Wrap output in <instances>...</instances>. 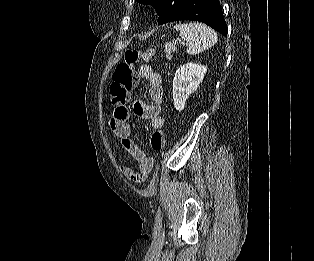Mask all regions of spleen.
Returning <instances> with one entry per match:
<instances>
[{"mask_svg": "<svg viewBox=\"0 0 314 261\" xmlns=\"http://www.w3.org/2000/svg\"><path fill=\"white\" fill-rule=\"evenodd\" d=\"M174 29L180 32L181 39L187 43V53L190 55L199 54L218 41L217 33L203 23L176 24Z\"/></svg>", "mask_w": 314, "mask_h": 261, "instance_id": "spleen-1", "label": "spleen"}]
</instances>
